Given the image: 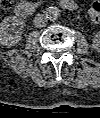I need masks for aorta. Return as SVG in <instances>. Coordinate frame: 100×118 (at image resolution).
Returning a JSON list of instances; mask_svg holds the SVG:
<instances>
[{
  "label": "aorta",
  "mask_w": 100,
  "mask_h": 118,
  "mask_svg": "<svg viewBox=\"0 0 100 118\" xmlns=\"http://www.w3.org/2000/svg\"><path fill=\"white\" fill-rule=\"evenodd\" d=\"M60 15V9L56 6H50L45 10V16L49 20H56Z\"/></svg>",
  "instance_id": "1"
}]
</instances>
